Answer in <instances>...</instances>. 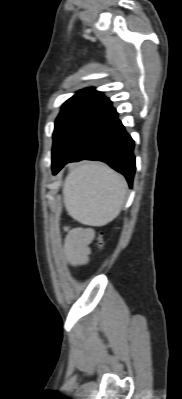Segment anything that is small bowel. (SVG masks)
Segmentation results:
<instances>
[{
  "instance_id": "small-bowel-1",
  "label": "small bowel",
  "mask_w": 182,
  "mask_h": 399,
  "mask_svg": "<svg viewBox=\"0 0 182 399\" xmlns=\"http://www.w3.org/2000/svg\"><path fill=\"white\" fill-rule=\"evenodd\" d=\"M94 236L95 231L90 227L67 230L61 252L69 265L80 267L88 263Z\"/></svg>"
}]
</instances>
